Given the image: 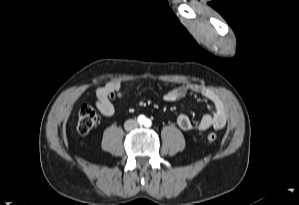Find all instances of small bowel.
<instances>
[{
    "mask_svg": "<svg viewBox=\"0 0 299 205\" xmlns=\"http://www.w3.org/2000/svg\"><path fill=\"white\" fill-rule=\"evenodd\" d=\"M121 87L122 82L114 79L96 90L95 103L102 115L109 117L114 114L115 108L110 101V96L113 93L119 92ZM189 92L203 96L213 105V111L209 114H205L198 121L197 129L199 131H205L209 128H214L216 130L224 128L227 120V113L222 99L216 92L201 84L190 83L177 86L164 95V100L167 102H174L184 98ZM177 125L180 129L186 131L192 127V121L188 115L181 114L177 118Z\"/></svg>",
    "mask_w": 299,
    "mask_h": 205,
    "instance_id": "small-bowel-1",
    "label": "small bowel"
}]
</instances>
